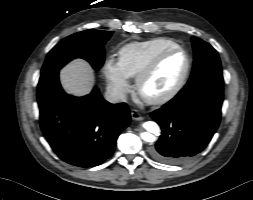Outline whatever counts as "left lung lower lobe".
Wrapping results in <instances>:
<instances>
[{
  "mask_svg": "<svg viewBox=\"0 0 253 200\" xmlns=\"http://www.w3.org/2000/svg\"><path fill=\"white\" fill-rule=\"evenodd\" d=\"M223 102V85L208 83L191 93L176 95L151 117L162 133L151 155L162 162L177 164L201 152L217 130Z\"/></svg>",
  "mask_w": 253,
  "mask_h": 200,
  "instance_id": "left-lung-lower-lobe-1",
  "label": "left lung lower lobe"
}]
</instances>
